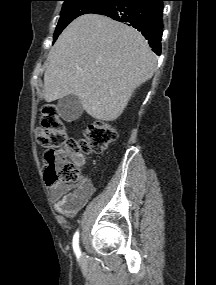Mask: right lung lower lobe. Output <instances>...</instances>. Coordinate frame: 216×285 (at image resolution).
<instances>
[{
  "mask_svg": "<svg viewBox=\"0 0 216 285\" xmlns=\"http://www.w3.org/2000/svg\"><path fill=\"white\" fill-rule=\"evenodd\" d=\"M163 1L166 0H114L93 13L132 25L159 55L163 33Z\"/></svg>",
  "mask_w": 216,
  "mask_h": 285,
  "instance_id": "right-lung-lower-lobe-1",
  "label": "right lung lower lobe"
}]
</instances>
